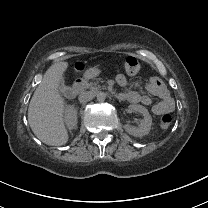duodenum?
Listing matches in <instances>:
<instances>
[{
  "label": "duodenum",
  "instance_id": "obj_1",
  "mask_svg": "<svg viewBox=\"0 0 208 208\" xmlns=\"http://www.w3.org/2000/svg\"><path fill=\"white\" fill-rule=\"evenodd\" d=\"M84 87V80L83 79H80V78H77L75 81H74V84L70 90V94L72 96H76L78 95L82 89Z\"/></svg>",
  "mask_w": 208,
  "mask_h": 208
}]
</instances>
